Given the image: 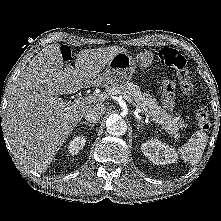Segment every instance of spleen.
I'll list each match as a JSON object with an SVG mask.
<instances>
[{
    "label": "spleen",
    "instance_id": "spleen-1",
    "mask_svg": "<svg viewBox=\"0 0 221 221\" xmlns=\"http://www.w3.org/2000/svg\"><path fill=\"white\" fill-rule=\"evenodd\" d=\"M207 140L206 133L202 131L194 132L191 139L178 149L181 158L191 165L197 164L203 155Z\"/></svg>",
    "mask_w": 221,
    "mask_h": 221
}]
</instances>
